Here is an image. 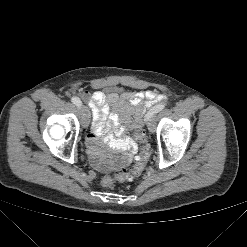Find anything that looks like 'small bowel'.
Masks as SVG:
<instances>
[{"instance_id":"1","label":"small bowel","mask_w":247,"mask_h":247,"mask_svg":"<svg viewBox=\"0 0 247 247\" xmlns=\"http://www.w3.org/2000/svg\"><path fill=\"white\" fill-rule=\"evenodd\" d=\"M80 96L88 103L93 115L92 130L87 136L88 152L93 165L103 172L122 169L132 162L138 146L127 132L141 127L147 109L165 99L151 90L122 93L81 91ZM104 145L120 155L107 159Z\"/></svg>"}]
</instances>
